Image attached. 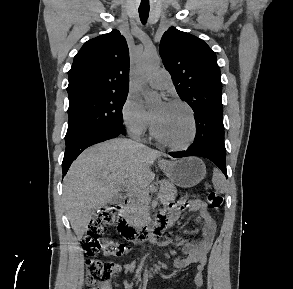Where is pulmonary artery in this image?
<instances>
[{"label":"pulmonary artery","instance_id":"pulmonary-artery-1","mask_svg":"<svg viewBox=\"0 0 293 289\" xmlns=\"http://www.w3.org/2000/svg\"><path fill=\"white\" fill-rule=\"evenodd\" d=\"M149 84L154 88L165 89L172 84L171 76L165 69H159L151 76Z\"/></svg>","mask_w":293,"mask_h":289}]
</instances>
